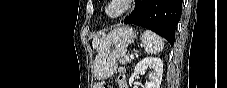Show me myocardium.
Returning <instances> with one entry per match:
<instances>
[{
  "label": "myocardium",
  "instance_id": "f54148a6",
  "mask_svg": "<svg viewBox=\"0 0 227 88\" xmlns=\"http://www.w3.org/2000/svg\"><path fill=\"white\" fill-rule=\"evenodd\" d=\"M132 0H110L104 8V15L109 20H115L125 15Z\"/></svg>",
  "mask_w": 227,
  "mask_h": 88
}]
</instances>
